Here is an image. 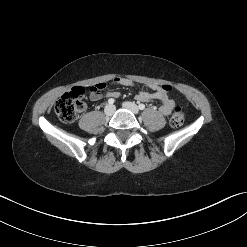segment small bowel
<instances>
[{
    "instance_id": "obj_1",
    "label": "small bowel",
    "mask_w": 247,
    "mask_h": 247,
    "mask_svg": "<svg viewBox=\"0 0 247 247\" xmlns=\"http://www.w3.org/2000/svg\"><path fill=\"white\" fill-rule=\"evenodd\" d=\"M113 83L121 86L126 87H133L134 82L125 77H116L113 79ZM148 87L152 90V92H148L145 90H139L135 95V100L138 102H151V101H159L161 106L159 108V112L164 115L168 116L171 114L172 110L174 109V100L170 97L169 93L171 91V87L168 85H155L150 84ZM103 94L101 91H94L90 90V98L93 101H98L102 98ZM106 96L117 98L119 93L114 90H108L106 92Z\"/></svg>"
}]
</instances>
